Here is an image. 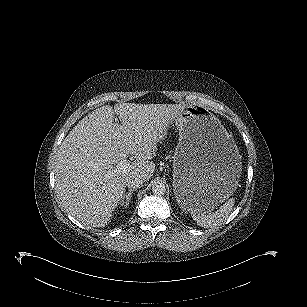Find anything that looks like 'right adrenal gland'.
I'll use <instances>...</instances> for the list:
<instances>
[{"instance_id":"1","label":"right adrenal gland","mask_w":307,"mask_h":307,"mask_svg":"<svg viewBox=\"0 0 307 307\" xmlns=\"http://www.w3.org/2000/svg\"><path fill=\"white\" fill-rule=\"evenodd\" d=\"M135 189H130L126 195L123 196L121 200V205L124 208H127L129 206V202L131 201V197Z\"/></svg>"}]
</instances>
